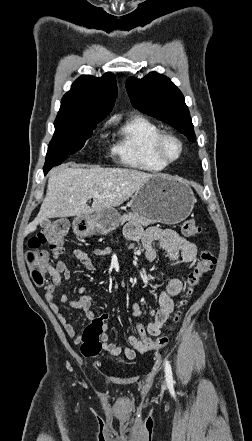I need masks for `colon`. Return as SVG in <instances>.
I'll return each instance as SVG.
<instances>
[{
    "label": "colon",
    "mask_w": 252,
    "mask_h": 441,
    "mask_svg": "<svg viewBox=\"0 0 252 441\" xmlns=\"http://www.w3.org/2000/svg\"><path fill=\"white\" fill-rule=\"evenodd\" d=\"M68 221L59 219L45 227L40 233L29 240V250L26 253V260L30 267V274L33 282L37 286H43L46 282L48 273V253L41 250V247L47 245L52 252H60L63 250L64 238L68 231ZM181 232L187 237L197 236L201 228L194 220H185L181 224ZM216 263V256L212 250L206 248L199 254L198 261L186 279V288L183 298L180 300V306H184L191 297L195 288L200 284L204 275L209 272ZM180 317V311H176L172 324L168 326V332L173 329ZM108 314L103 313L95 317L91 323L84 329L81 334V353L87 357H95L102 349L101 335L107 327L106 321ZM138 335L144 340L146 351L158 350L163 348L169 339V333H165L160 337L150 340L146 336V328L142 324L136 325Z\"/></svg>",
    "instance_id": "colon-1"
}]
</instances>
